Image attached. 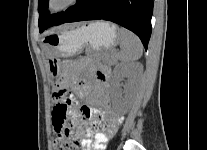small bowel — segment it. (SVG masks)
<instances>
[{
    "label": "small bowel",
    "instance_id": "1",
    "mask_svg": "<svg viewBox=\"0 0 207 150\" xmlns=\"http://www.w3.org/2000/svg\"><path fill=\"white\" fill-rule=\"evenodd\" d=\"M77 72H82L84 77L78 78L75 75ZM109 76L110 69L107 66L90 59H80L74 66L67 67L71 89L86 100V105L79 111L81 123L78 125V132H82L90 122H94L96 126L95 129L87 130L82 141V150H104L122 122L120 114L107 113L102 108L110 103ZM70 112L75 122L78 113L75 109ZM93 135L94 140L91 139Z\"/></svg>",
    "mask_w": 207,
    "mask_h": 150
}]
</instances>
